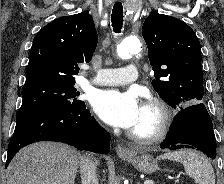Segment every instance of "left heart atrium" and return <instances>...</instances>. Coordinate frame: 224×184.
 Masks as SVG:
<instances>
[{
    "label": "left heart atrium",
    "instance_id": "39dd6f15",
    "mask_svg": "<svg viewBox=\"0 0 224 184\" xmlns=\"http://www.w3.org/2000/svg\"><path fill=\"white\" fill-rule=\"evenodd\" d=\"M92 104L104 122L124 129H132L137 124L142 110V104L134 92L99 91Z\"/></svg>",
    "mask_w": 224,
    "mask_h": 184
}]
</instances>
